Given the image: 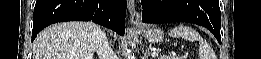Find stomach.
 <instances>
[{"label": "stomach", "instance_id": "obj_1", "mask_svg": "<svg viewBox=\"0 0 261 59\" xmlns=\"http://www.w3.org/2000/svg\"><path fill=\"white\" fill-rule=\"evenodd\" d=\"M143 37L151 43H158L164 37V32L161 28L154 25H145L141 28Z\"/></svg>", "mask_w": 261, "mask_h": 59}]
</instances>
